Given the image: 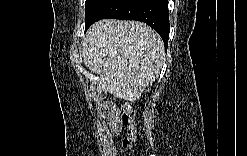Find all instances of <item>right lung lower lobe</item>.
I'll return each mask as SVG.
<instances>
[{
    "label": "right lung lower lobe",
    "mask_w": 247,
    "mask_h": 156,
    "mask_svg": "<svg viewBox=\"0 0 247 156\" xmlns=\"http://www.w3.org/2000/svg\"><path fill=\"white\" fill-rule=\"evenodd\" d=\"M105 18L145 22L160 34L167 48L170 31L167 0H109L92 23Z\"/></svg>",
    "instance_id": "obj_1"
}]
</instances>
